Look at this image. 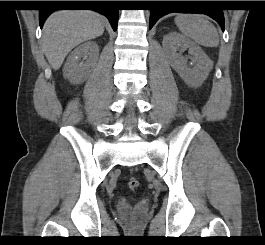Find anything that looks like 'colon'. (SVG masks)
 Masks as SVG:
<instances>
[{
    "label": "colon",
    "instance_id": "1",
    "mask_svg": "<svg viewBox=\"0 0 265 245\" xmlns=\"http://www.w3.org/2000/svg\"><path fill=\"white\" fill-rule=\"evenodd\" d=\"M128 186H129V188H130L131 190H135V189H137L138 186H139V181H138V179L135 178V177H132V178L129 180V182H128Z\"/></svg>",
    "mask_w": 265,
    "mask_h": 245
}]
</instances>
